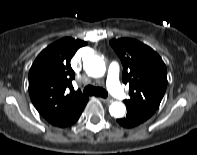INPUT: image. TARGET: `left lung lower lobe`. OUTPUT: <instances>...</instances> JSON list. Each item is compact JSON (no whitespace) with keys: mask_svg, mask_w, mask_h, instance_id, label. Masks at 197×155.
I'll return each mask as SVG.
<instances>
[{"mask_svg":"<svg viewBox=\"0 0 197 155\" xmlns=\"http://www.w3.org/2000/svg\"><path fill=\"white\" fill-rule=\"evenodd\" d=\"M144 121H146V119H144L143 117H141L140 115L127 110V115L124 118L121 119H117V122L123 126V127H127V128H131V127H135L137 125H140L141 123H143Z\"/></svg>","mask_w":197,"mask_h":155,"instance_id":"1","label":"left lung lower lobe"}]
</instances>
